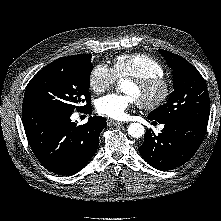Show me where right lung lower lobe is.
Listing matches in <instances>:
<instances>
[{
  "instance_id": "1",
  "label": "right lung lower lobe",
  "mask_w": 221,
  "mask_h": 221,
  "mask_svg": "<svg viewBox=\"0 0 221 221\" xmlns=\"http://www.w3.org/2000/svg\"><path fill=\"white\" fill-rule=\"evenodd\" d=\"M92 111V108L90 109ZM71 112L29 107L22 111L29 145L39 162L61 175L79 172L97 151L105 118L90 117L84 125L70 120Z\"/></svg>"
}]
</instances>
